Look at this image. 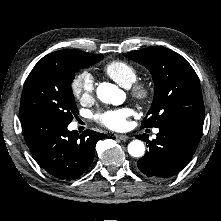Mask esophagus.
<instances>
[{
	"mask_svg": "<svg viewBox=\"0 0 221 221\" xmlns=\"http://www.w3.org/2000/svg\"><path fill=\"white\" fill-rule=\"evenodd\" d=\"M115 137L119 140L126 141L129 139V136L123 134H115Z\"/></svg>",
	"mask_w": 221,
	"mask_h": 221,
	"instance_id": "34e87169",
	"label": "esophagus"
}]
</instances>
